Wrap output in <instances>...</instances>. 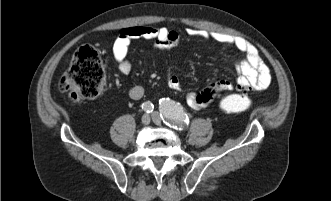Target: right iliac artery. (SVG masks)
I'll use <instances>...</instances> for the list:
<instances>
[{"instance_id": "1", "label": "right iliac artery", "mask_w": 331, "mask_h": 201, "mask_svg": "<svg viewBox=\"0 0 331 201\" xmlns=\"http://www.w3.org/2000/svg\"><path fill=\"white\" fill-rule=\"evenodd\" d=\"M142 109L147 113H151L154 110V105L150 101H147L142 104Z\"/></svg>"}]
</instances>
